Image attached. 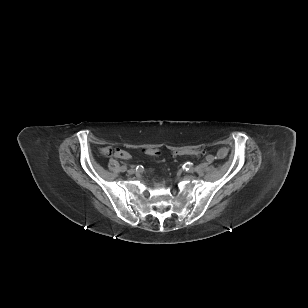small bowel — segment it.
Wrapping results in <instances>:
<instances>
[{
  "label": "small bowel",
  "mask_w": 308,
  "mask_h": 308,
  "mask_svg": "<svg viewBox=\"0 0 308 308\" xmlns=\"http://www.w3.org/2000/svg\"><path fill=\"white\" fill-rule=\"evenodd\" d=\"M219 158H224L227 155V150L225 148H221L217 153Z\"/></svg>",
  "instance_id": "1"
}]
</instances>
